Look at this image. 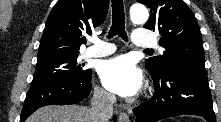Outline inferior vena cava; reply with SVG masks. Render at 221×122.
<instances>
[{
	"label": "inferior vena cava",
	"instance_id": "inferior-vena-cava-1",
	"mask_svg": "<svg viewBox=\"0 0 221 122\" xmlns=\"http://www.w3.org/2000/svg\"><path fill=\"white\" fill-rule=\"evenodd\" d=\"M116 97L101 89H95L90 113L93 122H108L113 115V104Z\"/></svg>",
	"mask_w": 221,
	"mask_h": 122
}]
</instances>
